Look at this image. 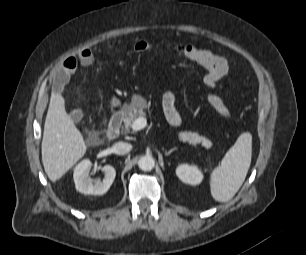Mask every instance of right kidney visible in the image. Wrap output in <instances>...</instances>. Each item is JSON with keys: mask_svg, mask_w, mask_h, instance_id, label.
<instances>
[{"mask_svg": "<svg viewBox=\"0 0 306 255\" xmlns=\"http://www.w3.org/2000/svg\"><path fill=\"white\" fill-rule=\"evenodd\" d=\"M92 167L90 160L81 161L74 169V182L76 190L83 194L103 195L112 185L116 171L111 165H105L102 168L104 173L103 180H92L89 173Z\"/></svg>", "mask_w": 306, "mask_h": 255, "instance_id": "right-kidney-1", "label": "right kidney"}]
</instances>
